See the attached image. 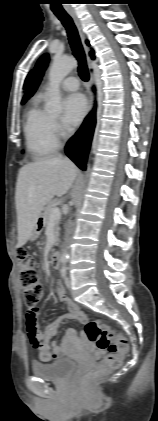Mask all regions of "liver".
I'll use <instances>...</instances> for the list:
<instances>
[{
	"label": "liver",
	"instance_id": "6515ba94",
	"mask_svg": "<svg viewBox=\"0 0 158 421\" xmlns=\"http://www.w3.org/2000/svg\"><path fill=\"white\" fill-rule=\"evenodd\" d=\"M77 167L61 156L24 165L17 178L15 202L18 221V247L26 244L44 206L72 187Z\"/></svg>",
	"mask_w": 158,
	"mask_h": 421
}]
</instances>
